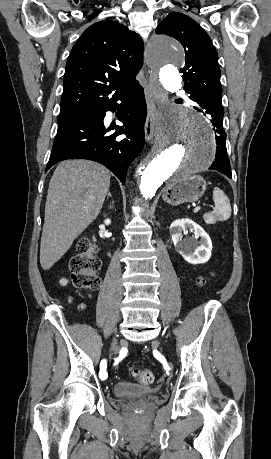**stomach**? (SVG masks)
<instances>
[{"label": "stomach", "mask_w": 271, "mask_h": 459, "mask_svg": "<svg viewBox=\"0 0 271 459\" xmlns=\"http://www.w3.org/2000/svg\"><path fill=\"white\" fill-rule=\"evenodd\" d=\"M206 190V182L201 176H184L175 178L166 184L163 190V200L171 206H179L184 202H197Z\"/></svg>", "instance_id": "obj_1"}]
</instances>
